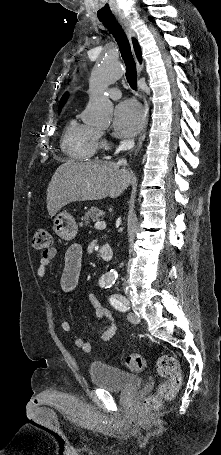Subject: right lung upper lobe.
Wrapping results in <instances>:
<instances>
[{"label":"right lung upper lobe","mask_w":221,"mask_h":455,"mask_svg":"<svg viewBox=\"0 0 221 455\" xmlns=\"http://www.w3.org/2000/svg\"><path fill=\"white\" fill-rule=\"evenodd\" d=\"M133 44H134V49H135L137 58L141 62V50H140V47H139L137 41L134 38H133ZM67 98H68V93L63 95V97L61 99V102H60V107H62L64 105V103L66 102Z\"/></svg>","instance_id":"obj_1"}]
</instances>
